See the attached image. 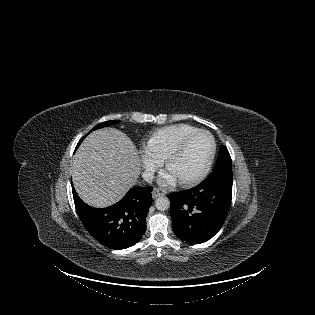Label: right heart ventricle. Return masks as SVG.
Segmentation results:
<instances>
[{"label":"right heart ventricle","mask_w":315,"mask_h":315,"mask_svg":"<svg viewBox=\"0 0 315 315\" xmlns=\"http://www.w3.org/2000/svg\"><path fill=\"white\" fill-rule=\"evenodd\" d=\"M197 128L188 124H174L155 130L148 138L146 148L162 161L177 143Z\"/></svg>","instance_id":"1"}]
</instances>
